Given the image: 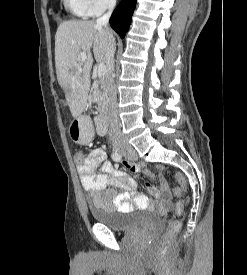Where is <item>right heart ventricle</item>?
<instances>
[{
    "label": "right heart ventricle",
    "mask_w": 247,
    "mask_h": 275,
    "mask_svg": "<svg viewBox=\"0 0 247 275\" xmlns=\"http://www.w3.org/2000/svg\"><path fill=\"white\" fill-rule=\"evenodd\" d=\"M67 11L78 18H88L91 14L88 11L84 0H62Z\"/></svg>",
    "instance_id": "right-heart-ventricle-1"
}]
</instances>
